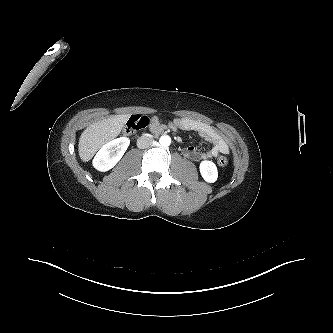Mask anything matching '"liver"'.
<instances>
[{"label":"liver","mask_w":333,"mask_h":333,"mask_svg":"<svg viewBox=\"0 0 333 333\" xmlns=\"http://www.w3.org/2000/svg\"><path fill=\"white\" fill-rule=\"evenodd\" d=\"M128 120V115H112L89 125L81 134L78 151L83 162H87L106 142L117 137Z\"/></svg>","instance_id":"1"}]
</instances>
